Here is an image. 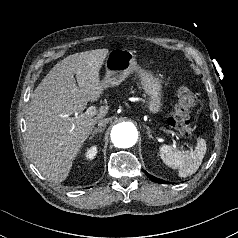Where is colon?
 Segmentation results:
<instances>
[{
    "instance_id": "colon-1",
    "label": "colon",
    "mask_w": 238,
    "mask_h": 238,
    "mask_svg": "<svg viewBox=\"0 0 238 238\" xmlns=\"http://www.w3.org/2000/svg\"><path fill=\"white\" fill-rule=\"evenodd\" d=\"M195 103L196 95L190 88L182 86L178 89L177 102L168 124L184 137L191 136L194 130L190 114Z\"/></svg>"
}]
</instances>
